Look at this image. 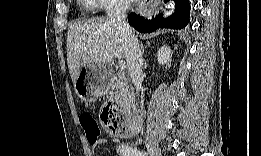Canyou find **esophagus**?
<instances>
[{
    "instance_id": "obj_1",
    "label": "esophagus",
    "mask_w": 261,
    "mask_h": 156,
    "mask_svg": "<svg viewBox=\"0 0 261 156\" xmlns=\"http://www.w3.org/2000/svg\"><path fill=\"white\" fill-rule=\"evenodd\" d=\"M156 5L155 4H153V7H155ZM145 12L147 13V14H150L151 13V10H145Z\"/></svg>"
}]
</instances>
